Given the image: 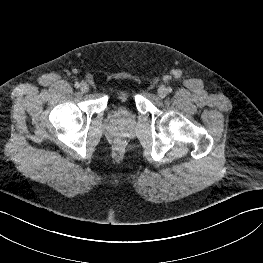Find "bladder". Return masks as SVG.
Returning <instances> with one entry per match:
<instances>
[{
    "instance_id": "obj_1",
    "label": "bladder",
    "mask_w": 263,
    "mask_h": 263,
    "mask_svg": "<svg viewBox=\"0 0 263 263\" xmlns=\"http://www.w3.org/2000/svg\"><path fill=\"white\" fill-rule=\"evenodd\" d=\"M129 96V92L124 89L117 90L116 93L114 94L115 99L117 100H125Z\"/></svg>"
}]
</instances>
